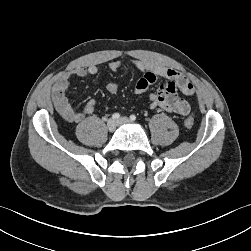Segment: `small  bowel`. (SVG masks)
Listing matches in <instances>:
<instances>
[{
    "mask_svg": "<svg viewBox=\"0 0 251 251\" xmlns=\"http://www.w3.org/2000/svg\"><path fill=\"white\" fill-rule=\"evenodd\" d=\"M132 65L143 73V76L135 85V93L138 95L143 94L158 78L168 80L160 85L156 93L149 95V106L151 109L161 108L166 112L179 115H187L190 112L188 101L181 97L179 92L186 96H192L195 88L183 73L148 60H133ZM120 67V61H111L108 64V68L111 71H117ZM97 73V66L89 65L76 68L72 73L64 74L58 78L52 89V99L58 114L64 120L72 123L80 122L93 113L96 105L94 99H89L81 109L75 108L70 103L67 92L70 86L71 75L85 78ZM118 87V83L115 81H109L106 84V89L111 94H115L118 91Z\"/></svg>",
    "mask_w": 251,
    "mask_h": 251,
    "instance_id": "obj_1",
    "label": "small bowel"
}]
</instances>
